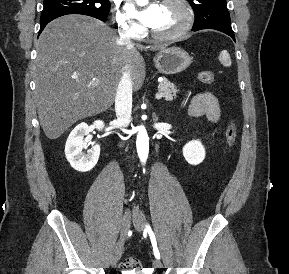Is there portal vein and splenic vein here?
I'll use <instances>...</instances> for the list:
<instances>
[{
  "label": "portal vein and splenic vein",
  "instance_id": "1",
  "mask_svg": "<svg viewBox=\"0 0 289 274\" xmlns=\"http://www.w3.org/2000/svg\"><path fill=\"white\" fill-rule=\"evenodd\" d=\"M163 96H162V94L161 93H157L156 94V99H161Z\"/></svg>",
  "mask_w": 289,
  "mask_h": 274
}]
</instances>
